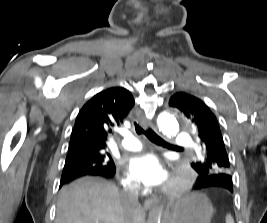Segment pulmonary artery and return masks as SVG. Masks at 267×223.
I'll use <instances>...</instances> for the list:
<instances>
[{"mask_svg":"<svg viewBox=\"0 0 267 223\" xmlns=\"http://www.w3.org/2000/svg\"><path fill=\"white\" fill-rule=\"evenodd\" d=\"M175 144L178 146H185L188 141L184 137H178L175 140ZM122 146L129 151H138L142 149V143L132 134L128 133L122 141Z\"/></svg>","mask_w":267,"mask_h":223,"instance_id":"1","label":"pulmonary artery"}]
</instances>
